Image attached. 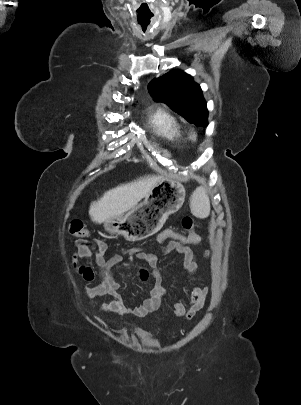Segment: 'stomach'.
<instances>
[{
	"instance_id": "stomach-1",
	"label": "stomach",
	"mask_w": 301,
	"mask_h": 405,
	"mask_svg": "<svg viewBox=\"0 0 301 405\" xmlns=\"http://www.w3.org/2000/svg\"><path fill=\"white\" fill-rule=\"evenodd\" d=\"M185 195L180 182L163 178L153 186L144 202L126 215L105 222V227L129 241L143 240L156 233L168 216L182 207Z\"/></svg>"
}]
</instances>
